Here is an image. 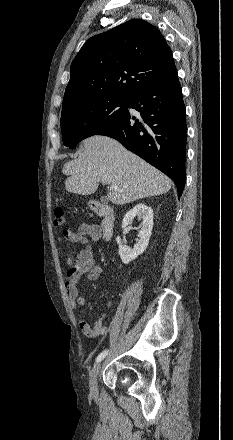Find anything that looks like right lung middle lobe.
<instances>
[{"label":"right lung middle lobe","mask_w":233,"mask_h":440,"mask_svg":"<svg viewBox=\"0 0 233 440\" xmlns=\"http://www.w3.org/2000/svg\"><path fill=\"white\" fill-rule=\"evenodd\" d=\"M129 99L92 98L62 108L63 143L70 149L83 139L99 134L123 116Z\"/></svg>","instance_id":"dd1d6c3e"}]
</instances>
